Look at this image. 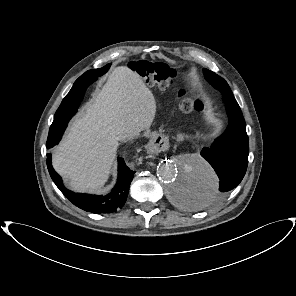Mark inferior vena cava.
<instances>
[{
    "instance_id": "obj_1",
    "label": "inferior vena cava",
    "mask_w": 296,
    "mask_h": 296,
    "mask_svg": "<svg viewBox=\"0 0 296 296\" xmlns=\"http://www.w3.org/2000/svg\"><path fill=\"white\" fill-rule=\"evenodd\" d=\"M137 133L135 131H125L122 134H120L119 139L120 140H127L135 137Z\"/></svg>"
}]
</instances>
